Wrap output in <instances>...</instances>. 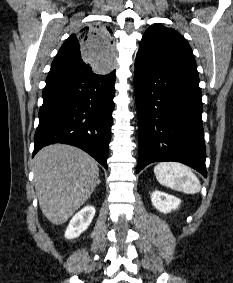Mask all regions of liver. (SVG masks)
Listing matches in <instances>:
<instances>
[{"instance_id":"6515ba94","label":"liver","mask_w":233,"mask_h":283,"mask_svg":"<svg viewBox=\"0 0 233 283\" xmlns=\"http://www.w3.org/2000/svg\"><path fill=\"white\" fill-rule=\"evenodd\" d=\"M33 163L41 211L55 225L65 223L99 183L98 163L74 146H46L35 155Z\"/></svg>"}]
</instances>
